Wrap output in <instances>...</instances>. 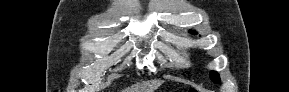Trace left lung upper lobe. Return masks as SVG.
<instances>
[{
	"label": "left lung upper lobe",
	"mask_w": 289,
	"mask_h": 92,
	"mask_svg": "<svg viewBox=\"0 0 289 92\" xmlns=\"http://www.w3.org/2000/svg\"><path fill=\"white\" fill-rule=\"evenodd\" d=\"M191 33H192V34H196L195 31H191ZM210 78H211V80H212L214 83H219V82H220V77H219L218 73L215 72V71H211V72H210Z\"/></svg>",
	"instance_id": "obj_1"
}]
</instances>
